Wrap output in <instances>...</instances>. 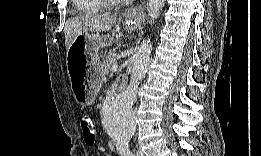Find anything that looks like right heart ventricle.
Wrapping results in <instances>:
<instances>
[{
	"instance_id": "e07e8e85",
	"label": "right heart ventricle",
	"mask_w": 261,
	"mask_h": 156,
	"mask_svg": "<svg viewBox=\"0 0 261 156\" xmlns=\"http://www.w3.org/2000/svg\"><path fill=\"white\" fill-rule=\"evenodd\" d=\"M92 2H93L92 0H77V1H76V4H77L78 6L83 5V4H87V7H88L89 9H94V8H95V5H94Z\"/></svg>"
}]
</instances>
